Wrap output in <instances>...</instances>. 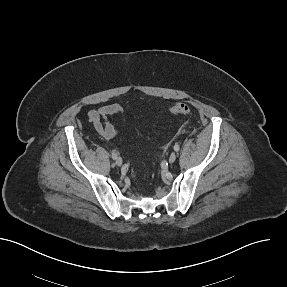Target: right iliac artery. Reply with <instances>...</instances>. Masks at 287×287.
<instances>
[{"mask_svg":"<svg viewBox=\"0 0 287 287\" xmlns=\"http://www.w3.org/2000/svg\"><path fill=\"white\" fill-rule=\"evenodd\" d=\"M111 157H112L113 159H116V158H117V153H116V152H112V153H111Z\"/></svg>","mask_w":287,"mask_h":287,"instance_id":"1","label":"right iliac artery"}]
</instances>
